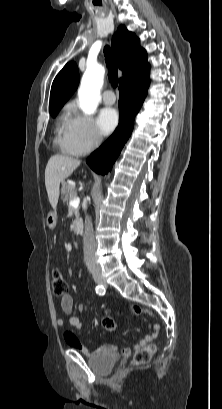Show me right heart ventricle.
<instances>
[{"mask_svg": "<svg viewBox=\"0 0 222 409\" xmlns=\"http://www.w3.org/2000/svg\"><path fill=\"white\" fill-rule=\"evenodd\" d=\"M67 119H68V112H66L60 119L58 128H57V143L60 145L61 149L69 154L77 156L80 152L76 149V147L72 144L69 139L67 133Z\"/></svg>", "mask_w": 222, "mask_h": 409, "instance_id": "e07e8e85", "label": "right heart ventricle"}]
</instances>
